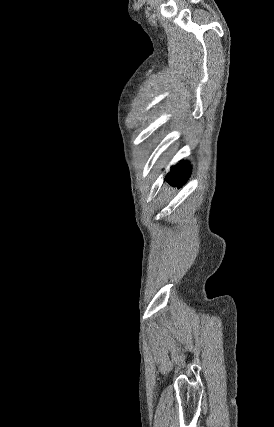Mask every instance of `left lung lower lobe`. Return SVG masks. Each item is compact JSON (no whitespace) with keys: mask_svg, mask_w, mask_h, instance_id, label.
<instances>
[{"mask_svg":"<svg viewBox=\"0 0 274 427\" xmlns=\"http://www.w3.org/2000/svg\"><path fill=\"white\" fill-rule=\"evenodd\" d=\"M190 165L188 162H180L177 166L173 167L170 173L166 176L168 181L173 186H182L190 176Z\"/></svg>","mask_w":274,"mask_h":427,"instance_id":"left-lung-lower-lobe-1","label":"left lung lower lobe"}]
</instances>
